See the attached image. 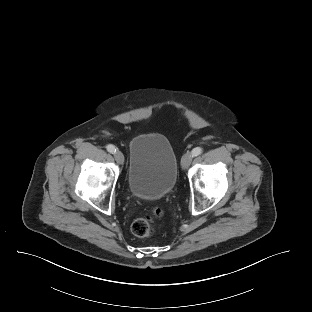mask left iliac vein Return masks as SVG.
Segmentation results:
<instances>
[{
    "mask_svg": "<svg viewBox=\"0 0 312 312\" xmlns=\"http://www.w3.org/2000/svg\"><path fill=\"white\" fill-rule=\"evenodd\" d=\"M192 162V153L187 152L183 155L181 159V166L183 169H187Z\"/></svg>",
    "mask_w": 312,
    "mask_h": 312,
    "instance_id": "left-iliac-vein-1",
    "label": "left iliac vein"
}]
</instances>
